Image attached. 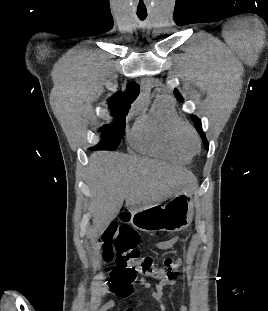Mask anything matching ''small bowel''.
<instances>
[{
    "instance_id": "1",
    "label": "small bowel",
    "mask_w": 268,
    "mask_h": 311,
    "mask_svg": "<svg viewBox=\"0 0 268 311\" xmlns=\"http://www.w3.org/2000/svg\"><path fill=\"white\" fill-rule=\"evenodd\" d=\"M179 240V237H173L171 239L162 240L155 243V247L159 250H168L174 246V244ZM182 277L174 278H160V280L152 284L147 281L144 276H141L138 280V284L148 291L152 299L154 300L156 311H165V306L163 303V292L164 289L168 286L176 284L179 280H182ZM115 302L113 300H108L104 305L101 306L99 311H108L114 308ZM127 311H135L134 308H128ZM180 311H188L186 305L180 306Z\"/></svg>"
}]
</instances>
